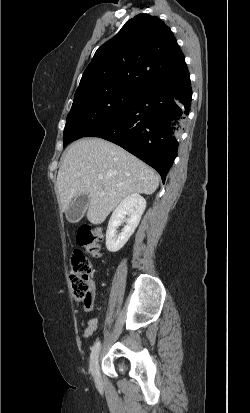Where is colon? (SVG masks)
I'll use <instances>...</instances> for the list:
<instances>
[{
    "label": "colon",
    "mask_w": 250,
    "mask_h": 413,
    "mask_svg": "<svg viewBox=\"0 0 250 413\" xmlns=\"http://www.w3.org/2000/svg\"><path fill=\"white\" fill-rule=\"evenodd\" d=\"M76 239L91 255H100L103 235L98 227L82 225L77 230ZM71 265L70 281L75 300L85 306H92L95 296L92 263L82 251L75 250L71 255Z\"/></svg>",
    "instance_id": "colon-1"
}]
</instances>
